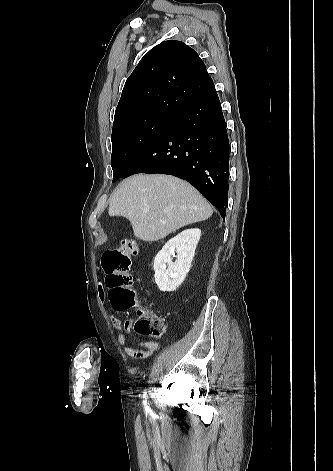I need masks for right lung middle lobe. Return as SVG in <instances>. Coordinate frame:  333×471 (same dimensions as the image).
I'll return each instance as SVG.
<instances>
[{"label": "right lung middle lobe", "mask_w": 333, "mask_h": 471, "mask_svg": "<svg viewBox=\"0 0 333 471\" xmlns=\"http://www.w3.org/2000/svg\"><path fill=\"white\" fill-rule=\"evenodd\" d=\"M175 115L142 112L122 117L113 123L112 155L113 182H116L135 158L164 130Z\"/></svg>", "instance_id": "1"}]
</instances>
